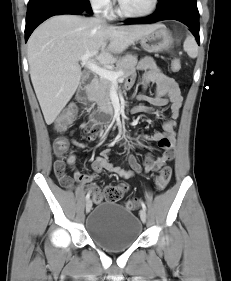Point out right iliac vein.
<instances>
[{"instance_id":"obj_1","label":"right iliac vein","mask_w":231,"mask_h":281,"mask_svg":"<svg viewBox=\"0 0 231 281\" xmlns=\"http://www.w3.org/2000/svg\"><path fill=\"white\" fill-rule=\"evenodd\" d=\"M85 207H86V212L89 213L92 208V201L90 199L87 200Z\"/></svg>"}]
</instances>
